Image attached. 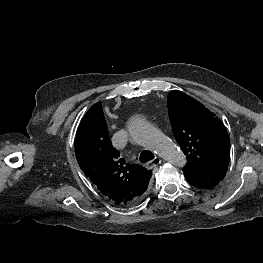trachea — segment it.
<instances>
[{
  "instance_id": "trachea-1",
  "label": "trachea",
  "mask_w": 263,
  "mask_h": 263,
  "mask_svg": "<svg viewBox=\"0 0 263 263\" xmlns=\"http://www.w3.org/2000/svg\"><path fill=\"white\" fill-rule=\"evenodd\" d=\"M154 158V155L151 151L144 150L140 154V162L146 163Z\"/></svg>"
}]
</instances>
